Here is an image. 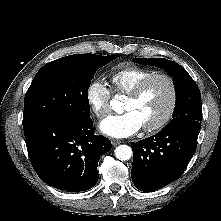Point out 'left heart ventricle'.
I'll use <instances>...</instances> for the list:
<instances>
[{
  "label": "left heart ventricle",
  "instance_id": "obj_1",
  "mask_svg": "<svg viewBox=\"0 0 221 221\" xmlns=\"http://www.w3.org/2000/svg\"><path fill=\"white\" fill-rule=\"evenodd\" d=\"M170 103V87L161 78L152 80L142 95L132 100L127 98L125 111H133L140 119L142 126H149L159 121L166 113Z\"/></svg>",
  "mask_w": 221,
  "mask_h": 221
}]
</instances>
